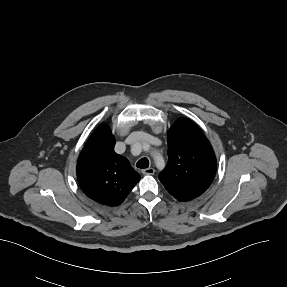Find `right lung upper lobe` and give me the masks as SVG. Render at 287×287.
Listing matches in <instances>:
<instances>
[{"label": "right lung upper lobe", "instance_id": "cb5924a9", "mask_svg": "<svg viewBox=\"0 0 287 287\" xmlns=\"http://www.w3.org/2000/svg\"><path fill=\"white\" fill-rule=\"evenodd\" d=\"M114 146L110 128L102 125L85 144L77 163V179L83 192L108 206L121 204L140 180L129 161L115 153Z\"/></svg>", "mask_w": 287, "mask_h": 287}]
</instances>
